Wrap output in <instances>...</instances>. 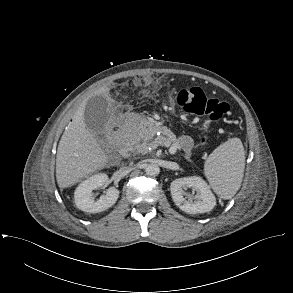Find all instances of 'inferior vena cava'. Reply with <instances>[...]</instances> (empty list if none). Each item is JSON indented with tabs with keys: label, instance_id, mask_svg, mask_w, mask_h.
Returning <instances> with one entry per match:
<instances>
[{
	"label": "inferior vena cava",
	"instance_id": "obj_1",
	"mask_svg": "<svg viewBox=\"0 0 293 293\" xmlns=\"http://www.w3.org/2000/svg\"><path fill=\"white\" fill-rule=\"evenodd\" d=\"M126 168H127V167H122L121 169L124 170V169H126Z\"/></svg>",
	"mask_w": 293,
	"mask_h": 293
}]
</instances>
